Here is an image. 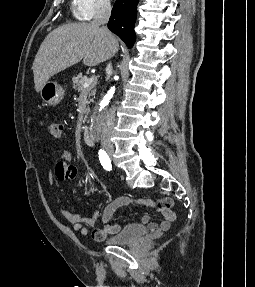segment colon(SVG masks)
I'll list each match as a JSON object with an SVG mask.
<instances>
[{
  "label": "colon",
  "instance_id": "1",
  "mask_svg": "<svg viewBox=\"0 0 255 287\" xmlns=\"http://www.w3.org/2000/svg\"><path fill=\"white\" fill-rule=\"evenodd\" d=\"M49 134L55 138H58L62 134V126L56 122H45Z\"/></svg>",
  "mask_w": 255,
  "mask_h": 287
}]
</instances>
